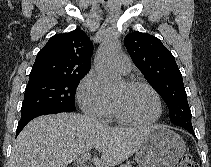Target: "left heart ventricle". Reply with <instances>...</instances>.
<instances>
[{
	"mask_svg": "<svg viewBox=\"0 0 211 167\" xmlns=\"http://www.w3.org/2000/svg\"><path fill=\"white\" fill-rule=\"evenodd\" d=\"M112 100L126 117L146 122L152 120L158 111L154 95L146 88H131L121 85L113 94Z\"/></svg>",
	"mask_w": 211,
	"mask_h": 167,
	"instance_id": "1",
	"label": "left heart ventricle"
}]
</instances>
